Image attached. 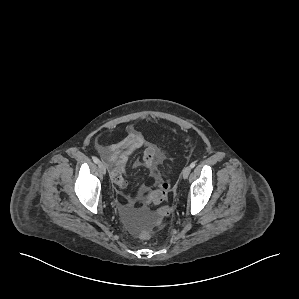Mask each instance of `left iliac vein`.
Returning a JSON list of instances; mask_svg holds the SVG:
<instances>
[{"label":"left iliac vein","instance_id":"left-iliac-vein-1","mask_svg":"<svg viewBox=\"0 0 299 299\" xmlns=\"http://www.w3.org/2000/svg\"><path fill=\"white\" fill-rule=\"evenodd\" d=\"M190 172H191V167L190 166L185 167L182 172L183 178L187 179Z\"/></svg>","mask_w":299,"mask_h":299}]
</instances>
